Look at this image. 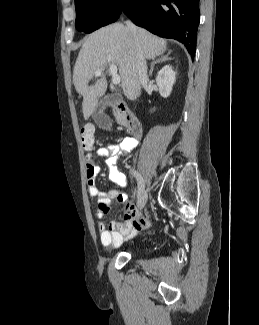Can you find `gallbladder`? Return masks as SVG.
<instances>
[{"instance_id": "obj_1", "label": "gallbladder", "mask_w": 259, "mask_h": 325, "mask_svg": "<svg viewBox=\"0 0 259 325\" xmlns=\"http://www.w3.org/2000/svg\"><path fill=\"white\" fill-rule=\"evenodd\" d=\"M116 96H107L102 99L94 111L92 117L96 124H98L102 128L108 129L110 127V118L103 112L106 107V101H114L116 100Z\"/></svg>"}]
</instances>
